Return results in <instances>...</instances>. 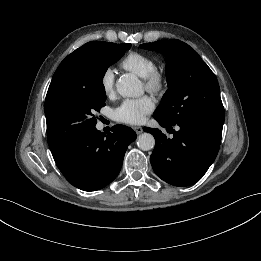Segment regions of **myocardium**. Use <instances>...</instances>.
<instances>
[{
	"instance_id": "myocardium-1",
	"label": "myocardium",
	"mask_w": 261,
	"mask_h": 261,
	"mask_svg": "<svg viewBox=\"0 0 261 261\" xmlns=\"http://www.w3.org/2000/svg\"><path fill=\"white\" fill-rule=\"evenodd\" d=\"M167 84L165 73L159 69H153L145 78L144 85L147 91L153 94H159L164 91Z\"/></svg>"
}]
</instances>
